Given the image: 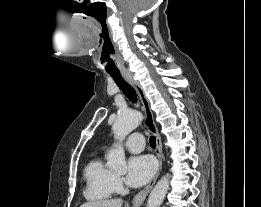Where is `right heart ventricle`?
<instances>
[{"label":"right heart ventricle","mask_w":261,"mask_h":207,"mask_svg":"<svg viewBox=\"0 0 261 207\" xmlns=\"http://www.w3.org/2000/svg\"><path fill=\"white\" fill-rule=\"evenodd\" d=\"M114 177V173L101 157L92 158L84 169L86 199L102 201L111 198L115 192Z\"/></svg>","instance_id":"1"}]
</instances>
